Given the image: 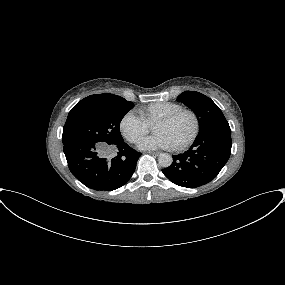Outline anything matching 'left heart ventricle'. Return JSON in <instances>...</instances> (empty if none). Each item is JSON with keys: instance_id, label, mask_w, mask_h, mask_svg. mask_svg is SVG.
<instances>
[{"instance_id": "obj_1", "label": "left heart ventricle", "mask_w": 285, "mask_h": 285, "mask_svg": "<svg viewBox=\"0 0 285 285\" xmlns=\"http://www.w3.org/2000/svg\"><path fill=\"white\" fill-rule=\"evenodd\" d=\"M194 126L190 115L184 114L169 123H156L153 130L156 133L165 134L173 146L181 144L192 132Z\"/></svg>"}]
</instances>
